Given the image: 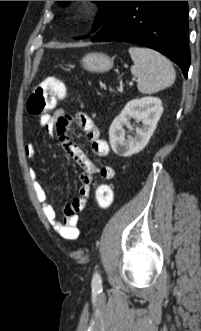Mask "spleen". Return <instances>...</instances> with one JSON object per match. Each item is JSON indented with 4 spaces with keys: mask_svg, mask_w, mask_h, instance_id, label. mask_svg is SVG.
<instances>
[{
    "mask_svg": "<svg viewBox=\"0 0 201 331\" xmlns=\"http://www.w3.org/2000/svg\"><path fill=\"white\" fill-rule=\"evenodd\" d=\"M129 54L134 62L131 74L138 78V90L153 94L170 87L175 81L172 63L159 52L143 47L132 46Z\"/></svg>",
    "mask_w": 201,
    "mask_h": 331,
    "instance_id": "spleen-1",
    "label": "spleen"
}]
</instances>
